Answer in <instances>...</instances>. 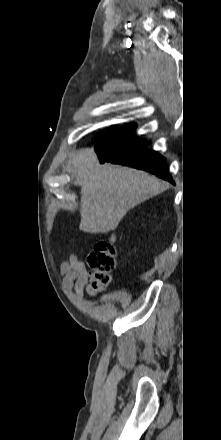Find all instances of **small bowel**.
Segmentation results:
<instances>
[{"instance_id": "obj_1", "label": "small bowel", "mask_w": 221, "mask_h": 440, "mask_svg": "<svg viewBox=\"0 0 221 440\" xmlns=\"http://www.w3.org/2000/svg\"><path fill=\"white\" fill-rule=\"evenodd\" d=\"M60 273L63 276L64 290H74L80 299L84 297L85 291L92 299H96L105 291V285L101 284L86 268L84 262L74 254H69L61 263Z\"/></svg>"}]
</instances>
